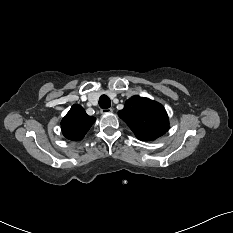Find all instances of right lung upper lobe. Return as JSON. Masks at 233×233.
<instances>
[{
	"label": "right lung upper lobe",
	"mask_w": 233,
	"mask_h": 233,
	"mask_svg": "<svg viewBox=\"0 0 233 233\" xmlns=\"http://www.w3.org/2000/svg\"><path fill=\"white\" fill-rule=\"evenodd\" d=\"M94 122L80 105H73L61 121L62 133L69 140H81Z\"/></svg>",
	"instance_id": "cb5924a9"
}]
</instances>
